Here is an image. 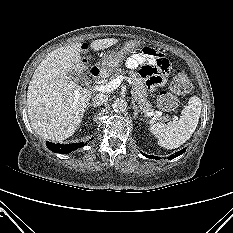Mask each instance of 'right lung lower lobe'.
I'll list each match as a JSON object with an SVG mask.
<instances>
[{"instance_id":"right-lung-lower-lobe-1","label":"right lung lower lobe","mask_w":233,"mask_h":233,"mask_svg":"<svg viewBox=\"0 0 233 233\" xmlns=\"http://www.w3.org/2000/svg\"><path fill=\"white\" fill-rule=\"evenodd\" d=\"M46 145L48 149H50L55 153L65 154L85 146V143L55 144V143L47 142Z\"/></svg>"}]
</instances>
